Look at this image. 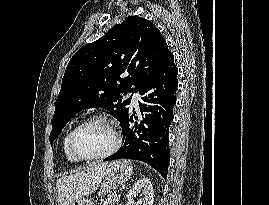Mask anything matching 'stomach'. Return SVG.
Here are the masks:
<instances>
[{"label": "stomach", "mask_w": 269, "mask_h": 205, "mask_svg": "<svg viewBox=\"0 0 269 205\" xmlns=\"http://www.w3.org/2000/svg\"><path fill=\"white\" fill-rule=\"evenodd\" d=\"M133 166L129 160H116L110 162L104 172L103 182L100 185L101 193L112 192L118 186L126 183L132 175ZM70 205H94L91 199L79 198Z\"/></svg>", "instance_id": "1"}]
</instances>
